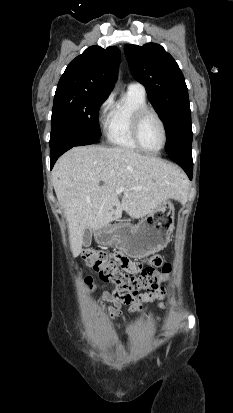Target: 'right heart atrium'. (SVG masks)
Wrapping results in <instances>:
<instances>
[{
	"instance_id": "1",
	"label": "right heart atrium",
	"mask_w": 233,
	"mask_h": 413,
	"mask_svg": "<svg viewBox=\"0 0 233 413\" xmlns=\"http://www.w3.org/2000/svg\"><path fill=\"white\" fill-rule=\"evenodd\" d=\"M111 101H112V97L109 95L100 103L98 107V118L100 120H103L108 114L111 108Z\"/></svg>"
}]
</instances>
